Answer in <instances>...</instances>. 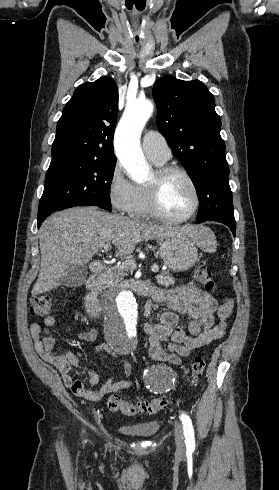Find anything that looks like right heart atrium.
<instances>
[{"instance_id":"right-heart-atrium-1","label":"right heart atrium","mask_w":279,"mask_h":490,"mask_svg":"<svg viewBox=\"0 0 279 490\" xmlns=\"http://www.w3.org/2000/svg\"><path fill=\"white\" fill-rule=\"evenodd\" d=\"M108 200L115 213L120 216H136L141 207L138 187L125 175L116 161L107 180Z\"/></svg>"}]
</instances>
